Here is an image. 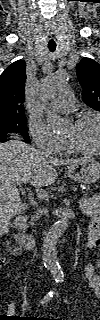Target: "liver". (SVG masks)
Masks as SVG:
<instances>
[{
	"label": "liver",
	"mask_w": 100,
	"mask_h": 320,
	"mask_svg": "<svg viewBox=\"0 0 100 320\" xmlns=\"http://www.w3.org/2000/svg\"><path fill=\"white\" fill-rule=\"evenodd\" d=\"M13 138L0 144V217L5 226L26 209L16 187L17 181L35 187L51 185L57 179L55 167L79 160L54 158L27 145L18 136Z\"/></svg>",
	"instance_id": "liver-1"
}]
</instances>
